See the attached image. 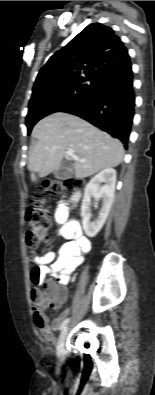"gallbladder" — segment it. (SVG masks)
Masks as SVG:
<instances>
[{"label": "gallbladder", "mask_w": 155, "mask_h": 395, "mask_svg": "<svg viewBox=\"0 0 155 395\" xmlns=\"http://www.w3.org/2000/svg\"><path fill=\"white\" fill-rule=\"evenodd\" d=\"M72 174L71 169L66 166V165H62L59 169H57L56 171H54V176L57 179H65L70 177Z\"/></svg>", "instance_id": "1"}]
</instances>
